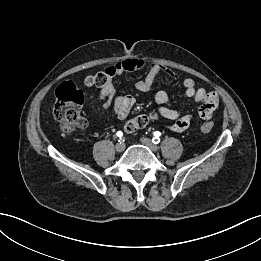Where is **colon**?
Wrapping results in <instances>:
<instances>
[{
  "instance_id": "5ec220e1",
  "label": "colon",
  "mask_w": 261,
  "mask_h": 261,
  "mask_svg": "<svg viewBox=\"0 0 261 261\" xmlns=\"http://www.w3.org/2000/svg\"><path fill=\"white\" fill-rule=\"evenodd\" d=\"M94 85L101 87L106 82L103 72L94 75ZM83 94L77 89L73 82L62 83L56 91V101L52 107V116L60 125L64 132L70 133L78 128L86 126V120L81 115V106L83 104ZM157 117L156 113L140 114L125 124V131L133 133L146 127ZM213 129L211 122H205L201 125L200 130L203 133H209Z\"/></svg>"
}]
</instances>
